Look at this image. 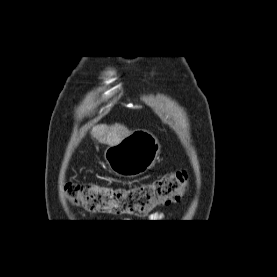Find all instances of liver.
I'll list each match as a JSON object with an SVG mask.
<instances>
[{
	"mask_svg": "<svg viewBox=\"0 0 277 277\" xmlns=\"http://www.w3.org/2000/svg\"><path fill=\"white\" fill-rule=\"evenodd\" d=\"M132 132L124 125L114 124L108 126L106 124L96 125L91 130V136L98 140L99 143L109 146L117 145L124 138L131 135Z\"/></svg>",
	"mask_w": 277,
	"mask_h": 277,
	"instance_id": "6515ba94",
	"label": "liver"
}]
</instances>
